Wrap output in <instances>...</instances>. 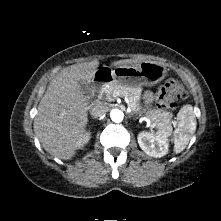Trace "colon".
I'll return each mask as SVG.
<instances>
[{"instance_id":"5ec220e1","label":"colon","mask_w":221,"mask_h":221,"mask_svg":"<svg viewBox=\"0 0 221 221\" xmlns=\"http://www.w3.org/2000/svg\"><path fill=\"white\" fill-rule=\"evenodd\" d=\"M184 97L182 85L174 79H169L157 92L158 106L161 109H174L177 101Z\"/></svg>"}]
</instances>
